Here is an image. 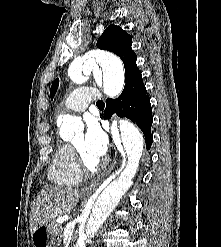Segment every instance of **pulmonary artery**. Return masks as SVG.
I'll use <instances>...</instances> for the list:
<instances>
[{
    "label": "pulmonary artery",
    "mask_w": 221,
    "mask_h": 247,
    "mask_svg": "<svg viewBox=\"0 0 221 247\" xmlns=\"http://www.w3.org/2000/svg\"><path fill=\"white\" fill-rule=\"evenodd\" d=\"M101 97L98 90L89 87H79L72 91L64 101V110L71 112H83L89 103Z\"/></svg>",
    "instance_id": "obj_1"
}]
</instances>
